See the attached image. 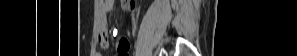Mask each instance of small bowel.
Returning <instances> with one entry per match:
<instances>
[{"label":"small bowel","mask_w":297,"mask_h":56,"mask_svg":"<svg viewBox=\"0 0 297 56\" xmlns=\"http://www.w3.org/2000/svg\"><path fill=\"white\" fill-rule=\"evenodd\" d=\"M114 0H102L99 2L100 6V23L98 29V43L103 49H107L110 46L109 33L107 26V13L112 9ZM122 6L128 8L129 4L126 1H122ZM133 7V5H131ZM118 56H128L129 42L125 38H120L116 44ZM96 56H101L100 53H96Z\"/></svg>","instance_id":"small-bowel-1"}]
</instances>
